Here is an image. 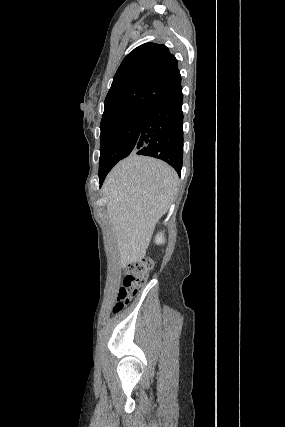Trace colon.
<instances>
[{
	"mask_svg": "<svg viewBox=\"0 0 285 427\" xmlns=\"http://www.w3.org/2000/svg\"><path fill=\"white\" fill-rule=\"evenodd\" d=\"M152 268L150 259H139L129 263L126 266L122 277V285L117 292L116 302L113 306V312L119 313L124 306L137 294L138 288L142 286Z\"/></svg>",
	"mask_w": 285,
	"mask_h": 427,
	"instance_id": "colon-1",
	"label": "colon"
}]
</instances>
